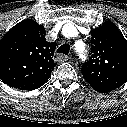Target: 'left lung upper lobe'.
<instances>
[{"instance_id":"left-lung-upper-lobe-1","label":"left lung upper lobe","mask_w":127,"mask_h":127,"mask_svg":"<svg viewBox=\"0 0 127 127\" xmlns=\"http://www.w3.org/2000/svg\"><path fill=\"white\" fill-rule=\"evenodd\" d=\"M89 60L82 75L89 84H104L114 89L127 81V42L111 21L92 31Z\"/></svg>"}]
</instances>
